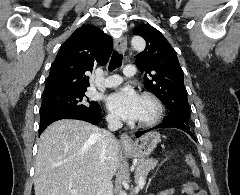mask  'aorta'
<instances>
[{"instance_id":"1","label":"aorta","mask_w":240,"mask_h":195,"mask_svg":"<svg viewBox=\"0 0 240 195\" xmlns=\"http://www.w3.org/2000/svg\"><path fill=\"white\" fill-rule=\"evenodd\" d=\"M131 46L134 50H136V52H143L146 46L145 40H143V38H132ZM119 195H127V193L121 189V191H119Z\"/></svg>"}]
</instances>
